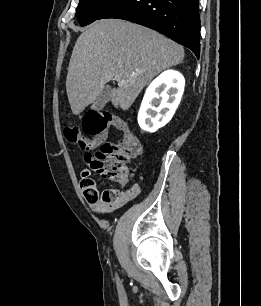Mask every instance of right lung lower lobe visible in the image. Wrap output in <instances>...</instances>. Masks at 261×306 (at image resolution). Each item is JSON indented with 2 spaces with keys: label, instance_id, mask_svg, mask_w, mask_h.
<instances>
[{
  "label": "right lung lower lobe",
  "instance_id": "98d812e1",
  "mask_svg": "<svg viewBox=\"0 0 261 306\" xmlns=\"http://www.w3.org/2000/svg\"><path fill=\"white\" fill-rule=\"evenodd\" d=\"M199 0H116L98 19H124L154 29L200 54Z\"/></svg>",
  "mask_w": 261,
  "mask_h": 306
}]
</instances>
